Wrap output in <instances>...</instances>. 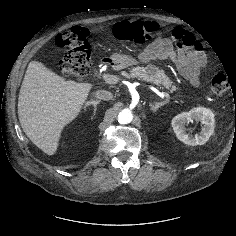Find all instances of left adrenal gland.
Segmentation results:
<instances>
[{"label":"left adrenal gland","instance_id":"1","mask_svg":"<svg viewBox=\"0 0 236 236\" xmlns=\"http://www.w3.org/2000/svg\"><path fill=\"white\" fill-rule=\"evenodd\" d=\"M167 103H169L168 99H166L165 101H162V102H154V104L150 103L151 111L156 112L159 108H161L162 106H164Z\"/></svg>","mask_w":236,"mask_h":236}]
</instances>
